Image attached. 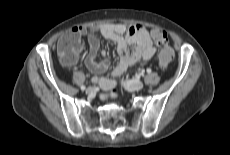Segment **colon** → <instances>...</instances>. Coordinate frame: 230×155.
<instances>
[{
  "label": "colon",
  "instance_id": "1",
  "mask_svg": "<svg viewBox=\"0 0 230 155\" xmlns=\"http://www.w3.org/2000/svg\"><path fill=\"white\" fill-rule=\"evenodd\" d=\"M153 39L155 42L162 46V51L160 52L159 65L162 69H165L169 62L173 58V49L166 45L167 33L163 30L156 29L152 32ZM80 44V39L75 35H70L66 37L59 43L58 46V55L60 59L65 63H73L76 58V49ZM117 91L113 89L110 93L106 94L107 97H115Z\"/></svg>",
  "mask_w": 230,
  "mask_h": 155
}]
</instances>
